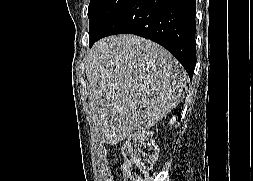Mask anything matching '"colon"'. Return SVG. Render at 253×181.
<instances>
[{"instance_id": "5ec220e1", "label": "colon", "mask_w": 253, "mask_h": 181, "mask_svg": "<svg viewBox=\"0 0 253 181\" xmlns=\"http://www.w3.org/2000/svg\"><path fill=\"white\" fill-rule=\"evenodd\" d=\"M125 156L126 179L145 181L147 172L157 157V145L148 133H143L127 142Z\"/></svg>"}]
</instances>
